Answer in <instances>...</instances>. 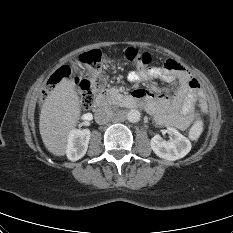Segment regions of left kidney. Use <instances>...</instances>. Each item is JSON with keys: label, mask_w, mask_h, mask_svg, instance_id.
<instances>
[{"label": "left kidney", "mask_w": 233, "mask_h": 233, "mask_svg": "<svg viewBox=\"0 0 233 233\" xmlns=\"http://www.w3.org/2000/svg\"><path fill=\"white\" fill-rule=\"evenodd\" d=\"M171 138L164 140L156 134L150 141L153 152L160 158L175 161L185 157L191 150V142L188 138L180 134L175 128H168Z\"/></svg>", "instance_id": "left-kidney-1"}]
</instances>
